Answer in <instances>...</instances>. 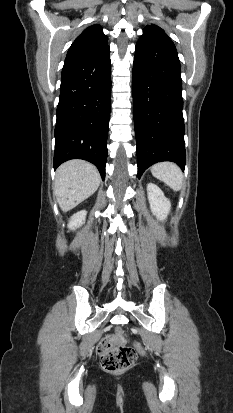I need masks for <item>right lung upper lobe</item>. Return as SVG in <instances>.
Returning <instances> with one entry per match:
<instances>
[{"label":"right lung upper lobe","instance_id":"obj_1","mask_svg":"<svg viewBox=\"0 0 233 413\" xmlns=\"http://www.w3.org/2000/svg\"><path fill=\"white\" fill-rule=\"evenodd\" d=\"M108 38L99 25L86 28L72 43L67 57L95 50L107 44Z\"/></svg>","mask_w":233,"mask_h":413}]
</instances>
